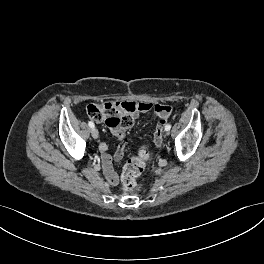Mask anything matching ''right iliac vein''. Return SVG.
<instances>
[{"label": "right iliac vein", "instance_id": "63e3f726", "mask_svg": "<svg viewBox=\"0 0 264 264\" xmlns=\"http://www.w3.org/2000/svg\"><path fill=\"white\" fill-rule=\"evenodd\" d=\"M91 135L94 139H97L99 137V132L96 128H92Z\"/></svg>", "mask_w": 264, "mask_h": 264}]
</instances>
